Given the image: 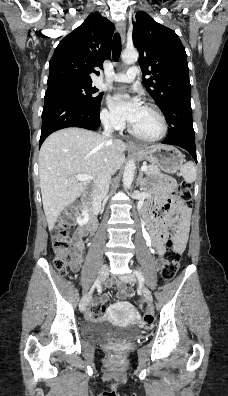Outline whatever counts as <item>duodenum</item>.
I'll return each mask as SVG.
<instances>
[{
	"instance_id": "duodenum-1",
	"label": "duodenum",
	"mask_w": 228,
	"mask_h": 396,
	"mask_svg": "<svg viewBox=\"0 0 228 396\" xmlns=\"http://www.w3.org/2000/svg\"><path fill=\"white\" fill-rule=\"evenodd\" d=\"M80 209L82 211L85 227L90 231H95L98 227V221L92 207V195L89 191L84 193ZM145 224L152 239V235L157 232L158 219L150 216V219L146 220Z\"/></svg>"
}]
</instances>
